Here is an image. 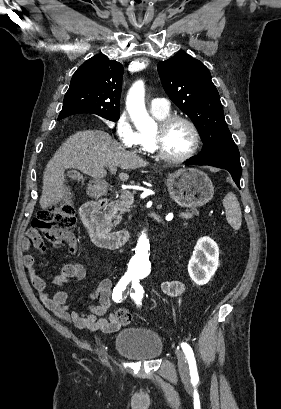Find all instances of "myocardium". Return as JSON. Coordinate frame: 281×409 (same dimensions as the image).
Wrapping results in <instances>:
<instances>
[{
	"label": "myocardium",
	"mask_w": 281,
	"mask_h": 409,
	"mask_svg": "<svg viewBox=\"0 0 281 409\" xmlns=\"http://www.w3.org/2000/svg\"><path fill=\"white\" fill-rule=\"evenodd\" d=\"M174 122L184 123L192 134V146L190 150L178 157L167 154L162 147V137L168 127ZM150 149L157 157L170 163H182L192 158L199 149L200 135L196 125L186 116L183 115H169L157 122L154 130L146 133Z\"/></svg>",
	"instance_id": "myocardium-1"
}]
</instances>
